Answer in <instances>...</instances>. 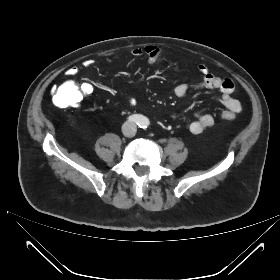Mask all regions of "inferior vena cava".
I'll use <instances>...</instances> for the list:
<instances>
[{
  "instance_id": "1",
  "label": "inferior vena cava",
  "mask_w": 280,
  "mask_h": 280,
  "mask_svg": "<svg viewBox=\"0 0 280 280\" xmlns=\"http://www.w3.org/2000/svg\"><path fill=\"white\" fill-rule=\"evenodd\" d=\"M123 131L127 136H133L136 132V125L134 123H126L123 126Z\"/></svg>"
}]
</instances>
